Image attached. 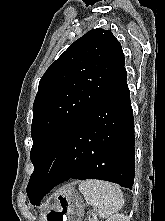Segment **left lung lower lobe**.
I'll list each match as a JSON object with an SVG mask.
<instances>
[{
  "label": "left lung lower lobe",
  "instance_id": "0a47b994",
  "mask_svg": "<svg viewBox=\"0 0 165 221\" xmlns=\"http://www.w3.org/2000/svg\"><path fill=\"white\" fill-rule=\"evenodd\" d=\"M126 77L124 67L70 132L37 188L33 205L69 179H100L132 189L134 118Z\"/></svg>",
  "mask_w": 165,
  "mask_h": 221
}]
</instances>
